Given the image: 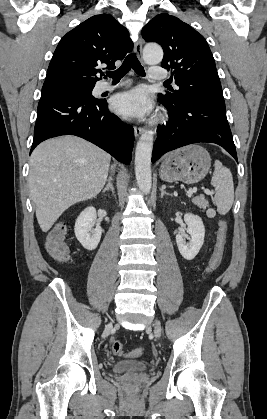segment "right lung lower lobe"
<instances>
[{"instance_id": "obj_1", "label": "right lung lower lobe", "mask_w": 267, "mask_h": 419, "mask_svg": "<svg viewBox=\"0 0 267 419\" xmlns=\"http://www.w3.org/2000/svg\"><path fill=\"white\" fill-rule=\"evenodd\" d=\"M76 135L129 164L134 145L133 127L108 110L105 100H89L82 94L60 88L42 89L31 151L42 141Z\"/></svg>"}]
</instances>
